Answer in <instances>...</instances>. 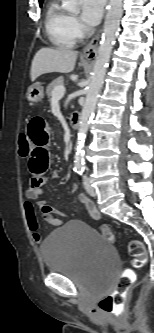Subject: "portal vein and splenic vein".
<instances>
[{
  "label": "portal vein and splenic vein",
  "instance_id": "1",
  "mask_svg": "<svg viewBox=\"0 0 154 333\" xmlns=\"http://www.w3.org/2000/svg\"><path fill=\"white\" fill-rule=\"evenodd\" d=\"M65 87L63 85L56 86L52 91V97L61 99L65 94Z\"/></svg>",
  "mask_w": 154,
  "mask_h": 333
}]
</instances>
